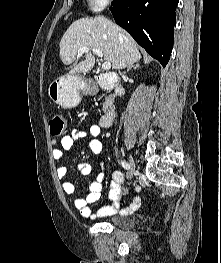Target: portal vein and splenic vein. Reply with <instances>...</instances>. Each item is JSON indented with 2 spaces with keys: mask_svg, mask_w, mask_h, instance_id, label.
I'll return each mask as SVG.
<instances>
[{
  "mask_svg": "<svg viewBox=\"0 0 221 263\" xmlns=\"http://www.w3.org/2000/svg\"><path fill=\"white\" fill-rule=\"evenodd\" d=\"M92 51L93 53H95L98 57L102 58L103 57V53L100 49L97 48H89V47H82L78 50V56H82L83 53L88 52V51ZM102 68L104 70H109L111 68V63L110 62H104L102 64Z\"/></svg>",
  "mask_w": 221,
  "mask_h": 263,
  "instance_id": "obj_1",
  "label": "portal vein and splenic vein"
}]
</instances>
